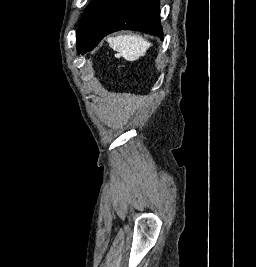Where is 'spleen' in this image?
Here are the masks:
<instances>
[{
	"label": "spleen",
	"mask_w": 256,
	"mask_h": 267,
	"mask_svg": "<svg viewBox=\"0 0 256 267\" xmlns=\"http://www.w3.org/2000/svg\"><path fill=\"white\" fill-rule=\"evenodd\" d=\"M110 48H114L115 52H119V56L125 58L127 62H135L140 56H145L148 48L152 46L150 42H146L143 36L137 34H125V36H116V38H108Z\"/></svg>",
	"instance_id": "obj_1"
}]
</instances>
